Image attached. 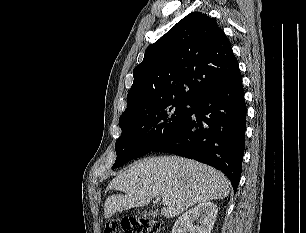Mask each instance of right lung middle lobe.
<instances>
[{
  "instance_id": "1",
  "label": "right lung middle lobe",
  "mask_w": 306,
  "mask_h": 233,
  "mask_svg": "<svg viewBox=\"0 0 306 233\" xmlns=\"http://www.w3.org/2000/svg\"><path fill=\"white\" fill-rule=\"evenodd\" d=\"M195 105L181 98L164 99L121 115L122 134L115 143L117 158L113 168L143 156L168 139Z\"/></svg>"
}]
</instances>
